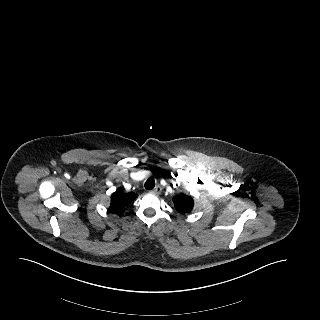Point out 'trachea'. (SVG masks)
Instances as JSON below:
<instances>
[{"instance_id": "3493384b", "label": "trachea", "mask_w": 320, "mask_h": 320, "mask_svg": "<svg viewBox=\"0 0 320 320\" xmlns=\"http://www.w3.org/2000/svg\"><path fill=\"white\" fill-rule=\"evenodd\" d=\"M154 186H155V181H154L153 178H149V179L145 182V184H144V187H145V189H147V190L153 189Z\"/></svg>"}]
</instances>
